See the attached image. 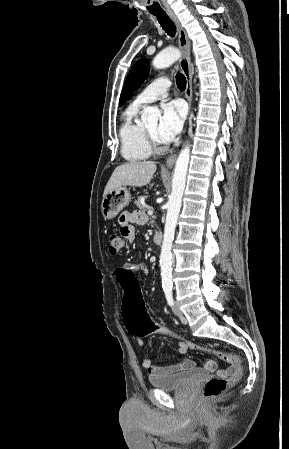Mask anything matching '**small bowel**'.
<instances>
[{"label": "small bowel", "instance_id": "1", "mask_svg": "<svg viewBox=\"0 0 289 449\" xmlns=\"http://www.w3.org/2000/svg\"><path fill=\"white\" fill-rule=\"evenodd\" d=\"M147 222V216L141 211L123 212L119 218L120 233L128 243H132L135 239L136 230L135 225H143ZM121 268H132L134 271L147 272V268L141 264L126 263ZM140 347H143L144 342L141 336L134 335ZM178 340V353L183 355L190 348L186 340ZM142 366L150 375H159L164 373H175L179 371L191 370L196 367V362L192 359H185L179 363L158 366L154 365L151 358L144 359ZM203 368L207 371H214L216 363L213 360H207L203 364ZM236 367L230 364L227 368L217 371L219 376H229L235 371Z\"/></svg>", "mask_w": 289, "mask_h": 449}]
</instances>
